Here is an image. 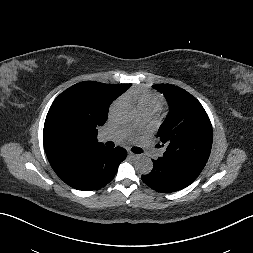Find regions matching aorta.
Here are the masks:
<instances>
[{"mask_svg":"<svg viewBox=\"0 0 253 253\" xmlns=\"http://www.w3.org/2000/svg\"><path fill=\"white\" fill-rule=\"evenodd\" d=\"M136 115V108L130 103H122L115 109V119L119 123H128ZM135 169L138 173L146 175L153 169V163L151 159L147 157H140L135 162Z\"/></svg>","mask_w":253,"mask_h":253,"instance_id":"obj_1","label":"aorta"}]
</instances>
